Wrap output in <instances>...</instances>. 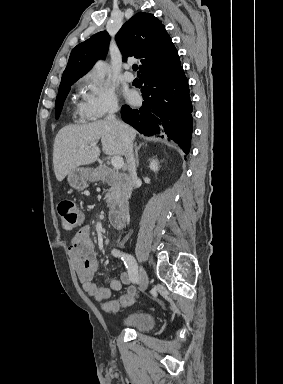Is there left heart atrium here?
Returning <instances> with one entry per match:
<instances>
[{
    "label": "left heart atrium",
    "instance_id": "left-heart-atrium-1",
    "mask_svg": "<svg viewBox=\"0 0 283 384\" xmlns=\"http://www.w3.org/2000/svg\"><path fill=\"white\" fill-rule=\"evenodd\" d=\"M126 98L129 102L134 103L137 100V95L134 92H127Z\"/></svg>",
    "mask_w": 283,
    "mask_h": 384
}]
</instances>
